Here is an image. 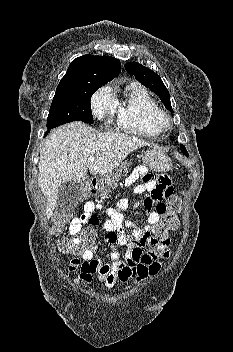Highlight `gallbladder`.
<instances>
[{
  "label": "gallbladder",
  "instance_id": "1",
  "mask_svg": "<svg viewBox=\"0 0 233 352\" xmlns=\"http://www.w3.org/2000/svg\"><path fill=\"white\" fill-rule=\"evenodd\" d=\"M83 185L76 181L63 183L58 189L56 210L62 214L73 212L80 200Z\"/></svg>",
  "mask_w": 233,
  "mask_h": 352
}]
</instances>
